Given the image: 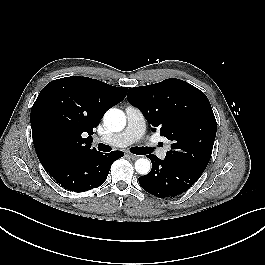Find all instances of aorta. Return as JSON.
Returning a JSON list of instances; mask_svg holds the SVG:
<instances>
[{"label": "aorta", "instance_id": "obj_1", "mask_svg": "<svg viewBox=\"0 0 265 265\" xmlns=\"http://www.w3.org/2000/svg\"><path fill=\"white\" fill-rule=\"evenodd\" d=\"M104 125L113 132H119L126 125V116L123 111L113 108L108 110L104 115ZM151 163L147 158H139L135 162V169L139 174L146 175L149 173Z\"/></svg>", "mask_w": 265, "mask_h": 265}]
</instances>
